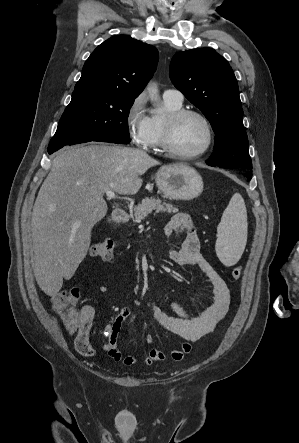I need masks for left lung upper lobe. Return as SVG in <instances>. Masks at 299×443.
<instances>
[{"label":"left lung upper lobe","mask_w":299,"mask_h":443,"mask_svg":"<svg viewBox=\"0 0 299 443\" xmlns=\"http://www.w3.org/2000/svg\"><path fill=\"white\" fill-rule=\"evenodd\" d=\"M170 79L211 123L215 145L207 162L252 169L238 83L227 60L212 48L178 52L171 60Z\"/></svg>","instance_id":"obj_1"}]
</instances>
